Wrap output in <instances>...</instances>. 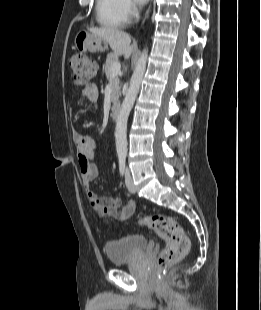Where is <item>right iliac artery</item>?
Listing matches in <instances>:
<instances>
[{
    "instance_id": "obj_1",
    "label": "right iliac artery",
    "mask_w": 261,
    "mask_h": 310,
    "mask_svg": "<svg viewBox=\"0 0 261 310\" xmlns=\"http://www.w3.org/2000/svg\"><path fill=\"white\" fill-rule=\"evenodd\" d=\"M119 171L122 176L125 174L126 171L125 157H119Z\"/></svg>"
}]
</instances>
